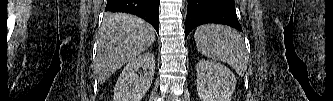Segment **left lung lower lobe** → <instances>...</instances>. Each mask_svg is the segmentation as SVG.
Listing matches in <instances>:
<instances>
[{
	"mask_svg": "<svg viewBox=\"0 0 333 101\" xmlns=\"http://www.w3.org/2000/svg\"><path fill=\"white\" fill-rule=\"evenodd\" d=\"M217 23L242 31L234 0H188L185 38L197 26Z\"/></svg>",
	"mask_w": 333,
	"mask_h": 101,
	"instance_id": "left-lung-lower-lobe-1",
	"label": "left lung lower lobe"
}]
</instances>
